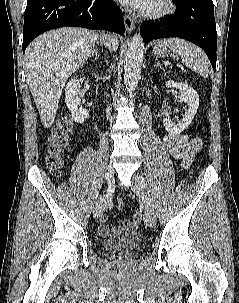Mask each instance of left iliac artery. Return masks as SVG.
Instances as JSON below:
<instances>
[{
	"mask_svg": "<svg viewBox=\"0 0 239 303\" xmlns=\"http://www.w3.org/2000/svg\"><path fill=\"white\" fill-rule=\"evenodd\" d=\"M142 181H144L143 177H141Z\"/></svg>",
	"mask_w": 239,
	"mask_h": 303,
	"instance_id": "left-iliac-artery-1",
	"label": "left iliac artery"
}]
</instances>
